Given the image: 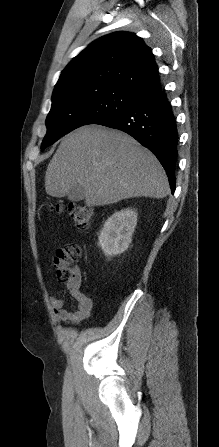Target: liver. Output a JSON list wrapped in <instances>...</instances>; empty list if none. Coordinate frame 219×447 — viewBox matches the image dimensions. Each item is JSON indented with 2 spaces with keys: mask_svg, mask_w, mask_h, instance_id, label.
<instances>
[{
  "mask_svg": "<svg viewBox=\"0 0 219 447\" xmlns=\"http://www.w3.org/2000/svg\"><path fill=\"white\" fill-rule=\"evenodd\" d=\"M84 189L87 206H103L132 197L164 198L166 173L157 158L135 139L97 125L80 127L62 138L45 175V190L62 198Z\"/></svg>",
  "mask_w": 219,
  "mask_h": 447,
  "instance_id": "obj_1",
  "label": "liver"
}]
</instances>
